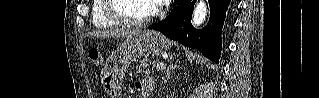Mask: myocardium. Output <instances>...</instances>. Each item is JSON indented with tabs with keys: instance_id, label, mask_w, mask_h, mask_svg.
I'll return each instance as SVG.
<instances>
[{
	"instance_id": "1",
	"label": "myocardium",
	"mask_w": 319,
	"mask_h": 98,
	"mask_svg": "<svg viewBox=\"0 0 319 98\" xmlns=\"http://www.w3.org/2000/svg\"><path fill=\"white\" fill-rule=\"evenodd\" d=\"M117 1V0H115ZM114 0H105V13L107 17L116 23V25H121V26H126V27H132V28H139L147 23H149L154 16L156 15V12L152 10L150 14H148L146 17L143 19L139 20H133V19H128L123 16H121L119 13H117L114 9Z\"/></svg>"
}]
</instances>
